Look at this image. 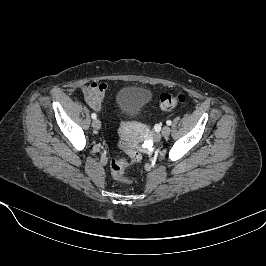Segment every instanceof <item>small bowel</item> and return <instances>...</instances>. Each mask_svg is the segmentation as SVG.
Returning a JSON list of instances; mask_svg holds the SVG:
<instances>
[{
    "label": "small bowel",
    "instance_id": "1",
    "mask_svg": "<svg viewBox=\"0 0 266 266\" xmlns=\"http://www.w3.org/2000/svg\"><path fill=\"white\" fill-rule=\"evenodd\" d=\"M83 95L87 104L96 111H101L103 101L108 91L106 83L93 82L83 89Z\"/></svg>",
    "mask_w": 266,
    "mask_h": 266
}]
</instances>
